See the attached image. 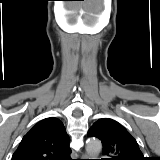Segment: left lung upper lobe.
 I'll return each instance as SVG.
<instances>
[{
	"mask_svg": "<svg viewBox=\"0 0 160 160\" xmlns=\"http://www.w3.org/2000/svg\"><path fill=\"white\" fill-rule=\"evenodd\" d=\"M87 135L101 140L103 155L111 157L104 160H145L136 140L113 119H99Z\"/></svg>",
	"mask_w": 160,
	"mask_h": 160,
	"instance_id": "left-lung-upper-lobe-1",
	"label": "left lung upper lobe"
}]
</instances>
